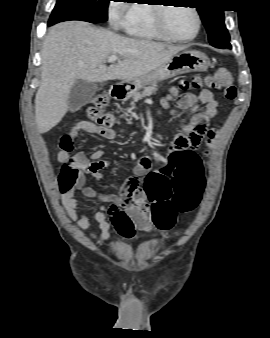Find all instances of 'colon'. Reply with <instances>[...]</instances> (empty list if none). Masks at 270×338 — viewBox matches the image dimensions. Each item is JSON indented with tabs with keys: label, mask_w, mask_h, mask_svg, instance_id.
<instances>
[{
	"label": "colon",
	"mask_w": 270,
	"mask_h": 338,
	"mask_svg": "<svg viewBox=\"0 0 270 338\" xmlns=\"http://www.w3.org/2000/svg\"><path fill=\"white\" fill-rule=\"evenodd\" d=\"M204 86L223 91L226 99L232 100L236 96L234 79L225 68H218L214 71L213 76L201 80L195 78L192 82L184 81L181 83V89H202ZM109 98L105 93L94 95L87 109V114L91 121L100 126H112L115 124V117L111 114L104 113L102 110L108 106ZM208 137L206 130V121L198 118L197 125L191 133V140L195 147ZM185 138L182 135L175 137L174 146L184 144ZM60 149L70 150L69 145H60ZM141 164V162H140ZM79 175V169L75 165L65 163L59 175L60 190L64 191L69 187ZM203 189V180L200 171L195 172L187 185L180 183L175 184L174 192L171 195L172 204L156 202L152 205L143 203L141 209L147 212L148 219L151 223L159 226H168L173 220L175 213H182L193 210L199 203ZM112 223L119 227H126L132 231V222L127 213L116 210L111 218Z\"/></svg>",
	"instance_id": "colon-1"
}]
</instances>
